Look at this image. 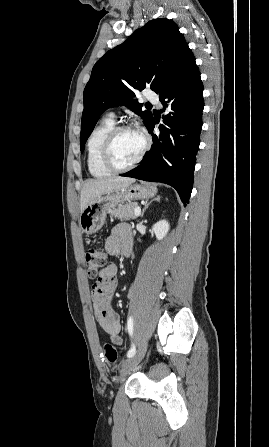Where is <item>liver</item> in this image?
I'll return each mask as SVG.
<instances>
[{"instance_id": "liver-1", "label": "liver", "mask_w": 269, "mask_h": 447, "mask_svg": "<svg viewBox=\"0 0 269 447\" xmlns=\"http://www.w3.org/2000/svg\"><path fill=\"white\" fill-rule=\"evenodd\" d=\"M135 182L134 178H99V180H86L80 194L81 214L91 200L97 196L109 194L121 188H127Z\"/></svg>"}]
</instances>
